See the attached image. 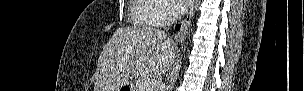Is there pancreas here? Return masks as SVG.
Wrapping results in <instances>:
<instances>
[{"label": "pancreas", "instance_id": "cf45deb5", "mask_svg": "<svg viewBox=\"0 0 304 91\" xmlns=\"http://www.w3.org/2000/svg\"><path fill=\"white\" fill-rule=\"evenodd\" d=\"M146 80L147 79L143 78V77L139 78L137 80V83H136V86H135V90L136 91H145L143 88H144V83H145Z\"/></svg>", "mask_w": 304, "mask_h": 91}]
</instances>
